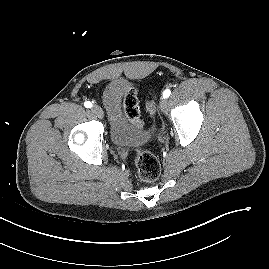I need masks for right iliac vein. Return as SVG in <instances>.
<instances>
[{"label": "right iliac vein", "mask_w": 269, "mask_h": 269, "mask_svg": "<svg viewBox=\"0 0 269 269\" xmlns=\"http://www.w3.org/2000/svg\"><path fill=\"white\" fill-rule=\"evenodd\" d=\"M92 112L99 118H103L104 116L103 110L98 105L92 107Z\"/></svg>", "instance_id": "1"}]
</instances>
